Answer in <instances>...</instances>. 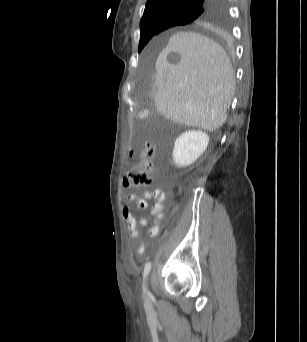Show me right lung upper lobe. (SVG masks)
Here are the masks:
<instances>
[{
  "label": "right lung upper lobe",
  "mask_w": 307,
  "mask_h": 342,
  "mask_svg": "<svg viewBox=\"0 0 307 342\" xmlns=\"http://www.w3.org/2000/svg\"><path fill=\"white\" fill-rule=\"evenodd\" d=\"M224 4L222 0H148L140 28L144 30L155 25L163 13L197 9L200 10V15L188 24L203 33L219 34L224 18Z\"/></svg>",
  "instance_id": "obj_1"
}]
</instances>
